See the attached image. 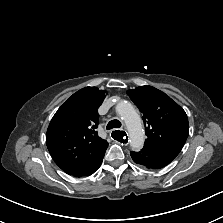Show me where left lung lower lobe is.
Listing matches in <instances>:
<instances>
[{
	"label": "left lung lower lobe",
	"mask_w": 223,
	"mask_h": 223,
	"mask_svg": "<svg viewBox=\"0 0 223 223\" xmlns=\"http://www.w3.org/2000/svg\"><path fill=\"white\" fill-rule=\"evenodd\" d=\"M130 154L135 163L148 169H160L176 157L164 151L145 146L141 151H131Z\"/></svg>",
	"instance_id": "1"
}]
</instances>
